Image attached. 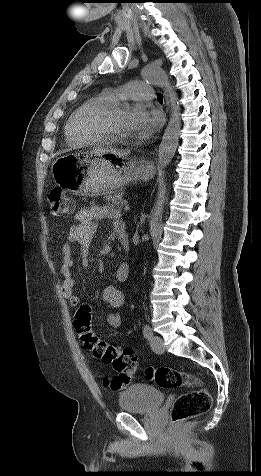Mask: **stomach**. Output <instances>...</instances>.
<instances>
[{"instance_id": "obj_1", "label": "stomach", "mask_w": 261, "mask_h": 476, "mask_svg": "<svg viewBox=\"0 0 261 476\" xmlns=\"http://www.w3.org/2000/svg\"><path fill=\"white\" fill-rule=\"evenodd\" d=\"M117 152L79 151L75 156H59L54 164L57 183L74 195H98L114 192L133 181H148L154 165L143 159L121 157Z\"/></svg>"}]
</instances>
